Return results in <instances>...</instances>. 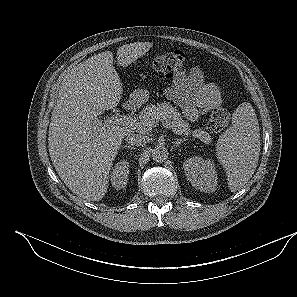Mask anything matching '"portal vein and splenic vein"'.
I'll list each match as a JSON object with an SVG mask.
<instances>
[{
	"label": "portal vein and splenic vein",
	"mask_w": 297,
	"mask_h": 297,
	"mask_svg": "<svg viewBox=\"0 0 297 297\" xmlns=\"http://www.w3.org/2000/svg\"><path fill=\"white\" fill-rule=\"evenodd\" d=\"M102 123V122H101ZM107 124L123 125L130 128L145 129V123L126 115L112 116L105 120ZM165 127L167 125L165 124Z\"/></svg>",
	"instance_id": "18ae733b"
}]
</instances>
